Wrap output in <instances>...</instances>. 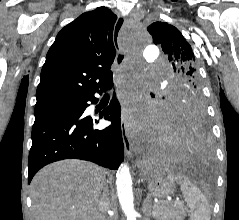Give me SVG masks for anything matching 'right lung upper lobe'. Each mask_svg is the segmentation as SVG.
<instances>
[{"mask_svg":"<svg viewBox=\"0 0 239 220\" xmlns=\"http://www.w3.org/2000/svg\"><path fill=\"white\" fill-rule=\"evenodd\" d=\"M116 19L102 6L83 13L58 33L41 70L35 108L86 97L112 78Z\"/></svg>","mask_w":239,"mask_h":220,"instance_id":"cb5924a9","label":"right lung upper lobe"}]
</instances>
